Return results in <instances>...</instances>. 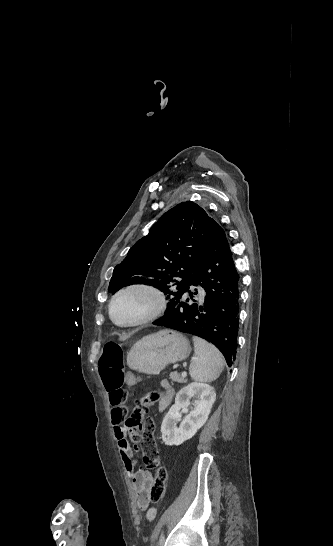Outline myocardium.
Returning <instances> with one entry per match:
<instances>
[{"instance_id": "f54148a6", "label": "myocardium", "mask_w": 333, "mask_h": 546, "mask_svg": "<svg viewBox=\"0 0 333 546\" xmlns=\"http://www.w3.org/2000/svg\"><path fill=\"white\" fill-rule=\"evenodd\" d=\"M131 292L145 293L151 298L150 307L142 315L129 322H118L113 316L114 304L125 294ZM167 299L161 289L146 282L130 283L119 289L111 298L108 305V315L114 325L120 328H134L146 325L159 318L166 310Z\"/></svg>"}]
</instances>
